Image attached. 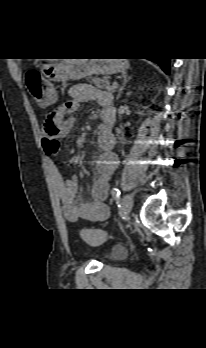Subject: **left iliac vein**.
Returning a JSON list of instances; mask_svg holds the SVG:
<instances>
[{"label": "left iliac vein", "mask_w": 206, "mask_h": 348, "mask_svg": "<svg viewBox=\"0 0 206 348\" xmlns=\"http://www.w3.org/2000/svg\"><path fill=\"white\" fill-rule=\"evenodd\" d=\"M122 205L125 215L128 216L133 208V198L130 194H127L123 197Z\"/></svg>", "instance_id": "1"}]
</instances>
